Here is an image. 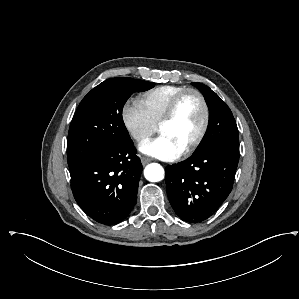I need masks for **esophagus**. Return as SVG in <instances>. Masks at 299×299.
Segmentation results:
<instances>
[{
    "instance_id": "esophagus-1",
    "label": "esophagus",
    "mask_w": 299,
    "mask_h": 299,
    "mask_svg": "<svg viewBox=\"0 0 299 299\" xmlns=\"http://www.w3.org/2000/svg\"><path fill=\"white\" fill-rule=\"evenodd\" d=\"M151 161H152V159L149 158V157H141V163H142V165H146V164H148Z\"/></svg>"
}]
</instances>
